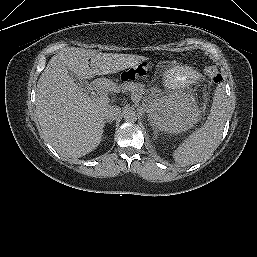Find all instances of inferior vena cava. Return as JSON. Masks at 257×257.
I'll use <instances>...</instances> for the list:
<instances>
[{
    "label": "inferior vena cava",
    "instance_id": "1",
    "mask_svg": "<svg viewBox=\"0 0 257 257\" xmlns=\"http://www.w3.org/2000/svg\"><path fill=\"white\" fill-rule=\"evenodd\" d=\"M102 117L106 121L115 120L121 113V108L118 106L107 105L102 108Z\"/></svg>",
    "mask_w": 257,
    "mask_h": 257
}]
</instances>
